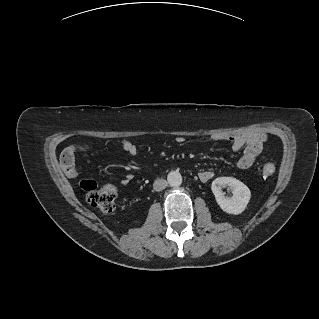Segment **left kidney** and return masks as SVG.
Masks as SVG:
<instances>
[{
    "label": "left kidney",
    "instance_id": "left-kidney-1",
    "mask_svg": "<svg viewBox=\"0 0 319 319\" xmlns=\"http://www.w3.org/2000/svg\"><path fill=\"white\" fill-rule=\"evenodd\" d=\"M228 188L231 196H227L223 191ZM211 190L220 208L228 214L242 213L251 197L250 189L241 181L233 177L216 178L211 185Z\"/></svg>",
    "mask_w": 319,
    "mask_h": 319
}]
</instances>
